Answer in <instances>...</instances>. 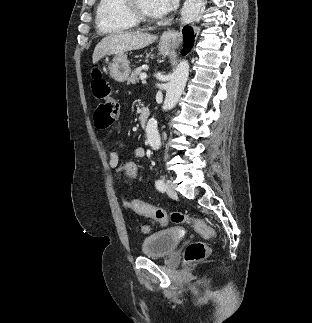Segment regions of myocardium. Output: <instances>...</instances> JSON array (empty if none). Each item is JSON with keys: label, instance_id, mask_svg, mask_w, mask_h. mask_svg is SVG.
<instances>
[{"label": "myocardium", "instance_id": "1", "mask_svg": "<svg viewBox=\"0 0 312 323\" xmlns=\"http://www.w3.org/2000/svg\"><path fill=\"white\" fill-rule=\"evenodd\" d=\"M124 6L128 8V10H124V13L132 15L137 25H154L155 20L151 18L150 12H145L144 8H139L137 0H128L124 3Z\"/></svg>", "mask_w": 312, "mask_h": 323}]
</instances>
